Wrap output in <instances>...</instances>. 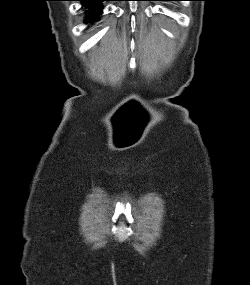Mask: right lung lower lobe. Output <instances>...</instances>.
Here are the masks:
<instances>
[{"mask_svg":"<svg viewBox=\"0 0 250 285\" xmlns=\"http://www.w3.org/2000/svg\"><path fill=\"white\" fill-rule=\"evenodd\" d=\"M85 3V7L87 8V19L88 21L96 20L102 13L103 7L102 2L107 0H77Z\"/></svg>","mask_w":250,"mask_h":285,"instance_id":"obj_1","label":"right lung lower lobe"}]
</instances>
